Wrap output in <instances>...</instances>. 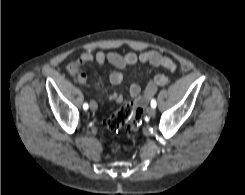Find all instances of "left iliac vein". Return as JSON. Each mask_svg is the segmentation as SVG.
<instances>
[{
  "label": "left iliac vein",
  "instance_id": "left-iliac-vein-1",
  "mask_svg": "<svg viewBox=\"0 0 245 195\" xmlns=\"http://www.w3.org/2000/svg\"><path fill=\"white\" fill-rule=\"evenodd\" d=\"M155 113H156V111H155V109H154L153 107H148V108H147V114H148L149 116H154Z\"/></svg>",
  "mask_w": 245,
  "mask_h": 195
}]
</instances>
